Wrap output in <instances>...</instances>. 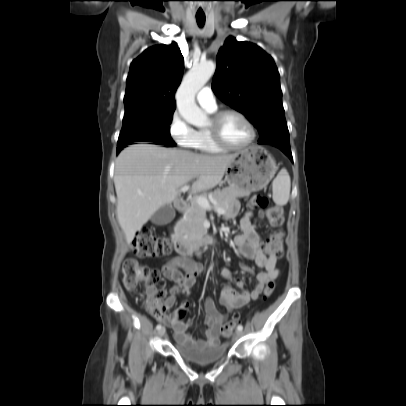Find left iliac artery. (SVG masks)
I'll return each mask as SVG.
<instances>
[{
    "label": "left iliac artery",
    "instance_id": "obj_1",
    "mask_svg": "<svg viewBox=\"0 0 406 406\" xmlns=\"http://www.w3.org/2000/svg\"><path fill=\"white\" fill-rule=\"evenodd\" d=\"M237 329H238V330H243V326H242V325H238V326H237Z\"/></svg>",
    "mask_w": 406,
    "mask_h": 406
}]
</instances>
